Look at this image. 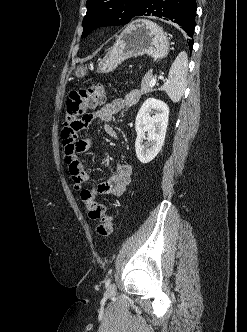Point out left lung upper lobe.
<instances>
[{"instance_id":"left-lung-upper-lobe-1","label":"left lung upper lobe","mask_w":247,"mask_h":332,"mask_svg":"<svg viewBox=\"0 0 247 332\" xmlns=\"http://www.w3.org/2000/svg\"><path fill=\"white\" fill-rule=\"evenodd\" d=\"M146 0H87L82 38L101 26L123 25L136 16Z\"/></svg>"}]
</instances>
